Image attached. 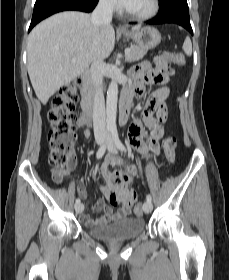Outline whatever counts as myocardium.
Returning a JSON list of instances; mask_svg holds the SVG:
<instances>
[{"mask_svg":"<svg viewBox=\"0 0 229 280\" xmlns=\"http://www.w3.org/2000/svg\"><path fill=\"white\" fill-rule=\"evenodd\" d=\"M122 10L126 15H128L130 18H132L134 20L145 21V20L153 18L154 16H156L158 14V12L160 10V1L151 0L150 7L148 8V10H146L144 12H140V13L129 11L126 8H123Z\"/></svg>","mask_w":229,"mask_h":280,"instance_id":"1","label":"myocardium"}]
</instances>
